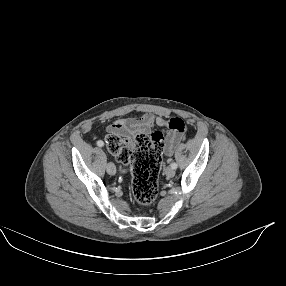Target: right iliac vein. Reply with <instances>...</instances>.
I'll return each instance as SVG.
<instances>
[{"instance_id":"1","label":"right iliac vein","mask_w":286,"mask_h":286,"mask_svg":"<svg viewBox=\"0 0 286 286\" xmlns=\"http://www.w3.org/2000/svg\"><path fill=\"white\" fill-rule=\"evenodd\" d=\"M107 172L110 175H114L116 173V167H115V165L113 163H111V162L108 163V165H107Z\"/></svg>"}]
</instances>
